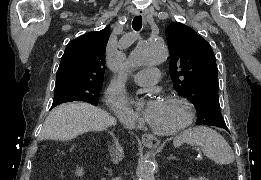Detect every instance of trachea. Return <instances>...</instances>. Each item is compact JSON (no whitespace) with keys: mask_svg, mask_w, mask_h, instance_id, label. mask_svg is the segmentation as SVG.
<instances>
[{"mask_svg":"<svg viewBox=\"0 0 261 180\" xmlns=\"http://www.w3.org/2000/svg\"><path fill=\"white\" fill-rule=\"evenodd\" d=\"M132 27L137 32L139 30H141V27H142V17H141V15H136V17H134L133 22H132Z\"/></svg>","mask_w":261,"mask_h":180,"instance_id":"1","label":"trachea"}]
</instances>
